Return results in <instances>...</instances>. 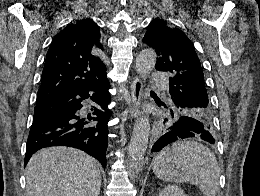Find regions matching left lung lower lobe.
Here are the masks:
<instances>
[{
	"mask_svg": "<svg viewBox=\"0 0 260 196\" xmlns=\"http://www.w3.org/2000/svg\"><path fill=\"white\" fill-rule=\"evenodd\" d=\"M198 135L201 139L211 144L215 143L211 130L208 129L203 122L191 118L179 119L171 124L168 131L155 142L151 151L158 152L166 145L175 142L178 139L195 137Z\"/></svg>",
	"mask_w": 260,
	"mask_h": 196,
	"instance_id": "1",
	"label": "left lung lower lobe"
}]
</instances>
